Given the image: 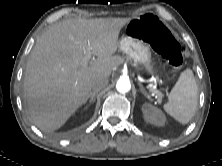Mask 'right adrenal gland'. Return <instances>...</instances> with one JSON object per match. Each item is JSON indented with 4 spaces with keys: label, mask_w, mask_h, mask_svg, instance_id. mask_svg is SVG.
<instances>
[{
    "label": "right adrenal gland",
    "mask_w": 222,
    "mask_h": 166,
    "mask_svg": "<svg viewBox=\"0 0 222 166\" xmlns=\"http://www.w3.org/2000/svg\"><path fill=\"white\" fill-rule=\"evenodd\" d=\"M96 93H92L89 96V104L84 108V110L88 109L91 104L95 102Z\"/></svg>",
    "instance_id": "obj_1"
}]
</instances>
